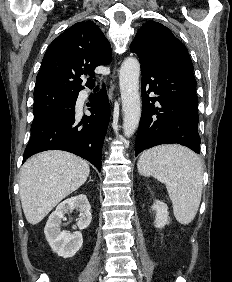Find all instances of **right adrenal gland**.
I'll return each mask as SVG.
<instances>
[{
    "label": "right adrenal gland",
    "mask_w": 232,
    "mask_h": 282,
    "mask_svg": "<svg viewBox=\"0 0 232 282\" xmlns=\"http://www.w3.org/2000/svg\"><path fill=\"white\" fill-rule=\"evenodd\" d=\"M90 181H93V180L91 179V177L89 178V182H90Z\"/></svg>",
    "instance_id": "2a0ac1e0"
}]
</instances>
